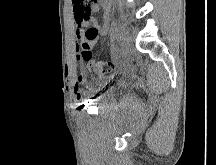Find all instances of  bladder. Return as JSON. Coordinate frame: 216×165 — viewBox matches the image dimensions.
I'll list each match as a JSON object with an SVG mask.
<instances>
[{"mask_svg":"<svg viewBox=\"0 0 216 165\" xmlns=\"http://www.w3.org/2000/svg\"><path fill=\"white\" fill-rule=\"evenodd\" d=\"M102 86H113V81H102ZM115 94V90L110 87H105L95 100V104L98 107L105 106L112 96Z\"/></svg>","mask_w":216,"mask_h":165,"instance_id":"bladder-1","label":"bladder"}]
</instances>
